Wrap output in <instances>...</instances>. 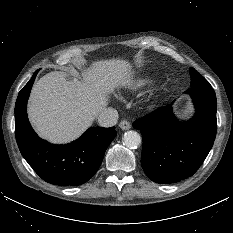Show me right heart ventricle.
Segmentation results:
<instances>
[{
	"label": "right heart ventricle",
	"instance_id": "1",
	"mask_svg": "<svg viewBox=\"0 0 233 233\" xmlns=\"http://www.w3.org/2000/svg\"><path fill=\"white\" fill-rule=\"evenodd\" d=\"M154 81V76L146 73H141L126 81L125 89L131 92L140 91L152 85Z\"/></svg>",
	"mask_w": 233,
	"mask_h": 233
}]
</instances>
